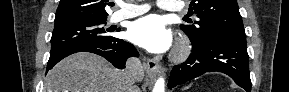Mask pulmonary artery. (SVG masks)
Listing matches in <instances>:
<instances>
[{"label":"pulmonary artery","instance_id":"e3ab8cb5","mask_svg":"<svg viewBox=\"0 0 289 92\" xmlns=\"http://www.w3.org/2000/svg\"><path fill=\"white\" fill-rule=\"evenodd\" d=\"M158 6L169 12H180L182 10V7L177 4L176 2L169 1V0H160L158 2ZM149 10V6L144 4V5H127V4H122L121 9L115 12L111 16V22H119L124 19H129L133 18L139 15L144 14Z\"/></svg>","mask_w":289,"mask_h":92}]
</instances>
